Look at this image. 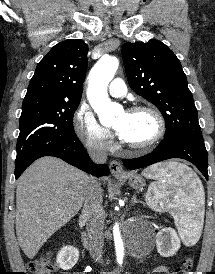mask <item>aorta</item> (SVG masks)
Returning <instances> with one entry per match:
<instances>
[{"label": "aorta", "instance_id": "1", "mask_svg": "<svg viewBox=\"0 0 215 274\" xmlns=\"http://www.w3.org/2000/svg\"><path fill=\"white\" fill-rule=\"evenodd\" d=\"M119 66L116 57L103 56L94 65L89 74V85L87 97L90 105L97 113L101 124H110L115 120V115L121 111L119 104L111 102L108 96L107 87L114 77ZM117 262H123L124 248L119 232L114 234Z\"/></svg>", "mask_w": 215, "mask_h": 274}]
</instances>
